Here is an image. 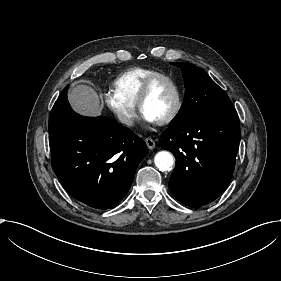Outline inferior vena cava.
I'll return each mask as SVG.
<instances>
[{
    "instance_id": "602c4592",
    "label": "inferior vena cava",
    "mask_w": 281,
    "mask_h": 281,
    "mask_svg": "<svg viewBox=\"0 0 281 281\" xmlns=\"http://www.w3.org/2000/svg\"><path fill=\"white\" fill-rule=\"evenodd\" d=\"M118 119L125 125L127 126H132L133 125V120L129 117H127L124 114H119Z\"/></svg>"
}]
</instances>
